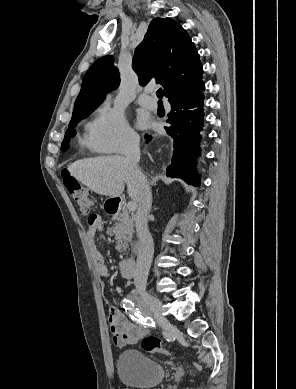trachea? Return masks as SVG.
<instances>
[{"mask_svg":"<svg viewBox=\"0 0 296 389\" xmlns=\"http://www.w3.org/2000/svg\"><path fill=\"white\" fill-rule=\"evenodd\" d=\"M156 95L159 99H161L163 97V91H162V88H159L156 92Z\"/></svg>","mask_w":296,"mask_h":389,"instance_id":"1","label":"trachea"}]
</instances>
